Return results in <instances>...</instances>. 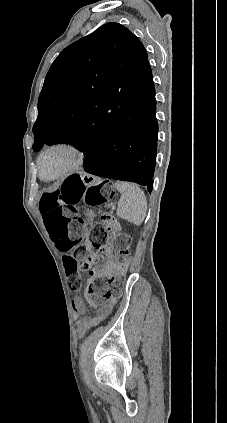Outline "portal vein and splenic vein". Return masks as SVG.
<instances>
[{"mask_svg":"<svg viewBox=\"0 0 227 423\" xmlns=\"http://www.w3.org/2000/svg\"><path fill=\"white\" fill-rule=\"evenodd\" d=\"M111 209H112V210H115V209H116V206H115V205H112V206H111Z\"/></svg>","mask_w":227,"mask_h":423,"instance_id":"18ae733b","label":"portal vein and splenic vein"}]
</instances>
